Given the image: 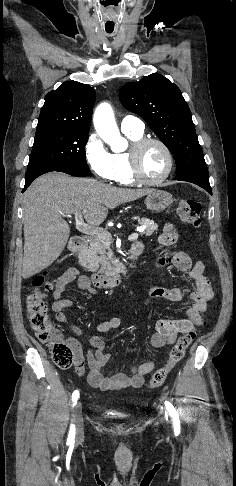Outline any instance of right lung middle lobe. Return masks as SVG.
I'll return each instance as SVG.
<instances>
[{
	"instance_id": "obj_1",
	"label": "right lung middle lobe",
	"mask_w": 236,
	"mask_h": 486,
	"mask_svg": "<svg viewBox=\"0 0 236 486\" xmlns=\"http://www.w3.org/2000/svg\"><path fill=\"white\" fill-rule=\"evenodd\" d=\"M88 131L37 129L28 167L56 166L89 170L85 158Z\"/></svg>"
}]
</instances>
